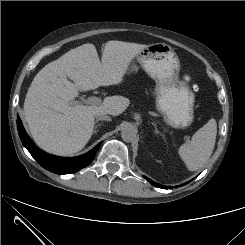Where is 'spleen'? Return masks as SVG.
<instances>
[{"instance_id":"spleen-1","label":"spleen","mask_w":245,"mask_h":245,"mask_svg":"<svg viewBox=\"0 0 245 245\" xmlns=\"http://www.w3.org/2000/svg\"><path fill=\"white\" fill-rule=\"evenodd\" d=\"M217 135V123L210 119L194 133L189 143L179 148V155L189 171L201 169L212 155Z\"/></svg>"}]
</instances>
